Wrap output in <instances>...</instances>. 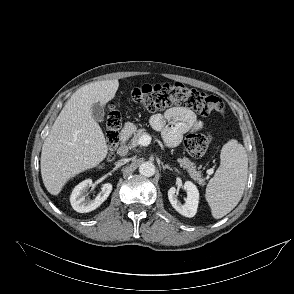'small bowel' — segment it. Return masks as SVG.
Instances as JSON below:
<instances>
[{
	"label": "small bowel",
	"instance_id": "obj_1",
	"mask_svg": "<svg viewBox=\"0 0 294 294\" xmlns=\"http://www.w3.org/2000/svg\"><path fill=\"white\" fill-rule=\"evenodd\" d=\"M150 124L155 130L162 132L170 147L177 146L185 133L204 128V123L197 120L194 112L182 106L171 107L163 114H154L150 118Z\"/></svg>",
	"mask_w": 294,
	"mask_h": 294
}]
</instances>
